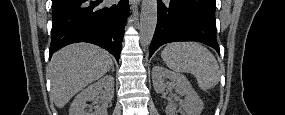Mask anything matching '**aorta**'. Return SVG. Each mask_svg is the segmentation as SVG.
<instances>
[{"mask_svg": "<svg viewBox=\"0 0 285 115\" xmlns=\"http://www.w3.org/2000/svg\"><path fill=\"white\" fill-rule=\"evenodd\" d=\"M157 25V0H143L140 14V40L147 47L153 38Z\"/></svg>", "mask_w": 285, "mask_h": 115, "instance_id": "obj_1", "label": "aorta"}]
</instances>
